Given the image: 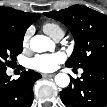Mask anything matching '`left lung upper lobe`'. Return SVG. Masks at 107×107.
<instances>
[{"instance_id": "5c2ea615", "label": "left lung upper lobe", "mask_w": 107, "mask_h": 107, "mask_svg": "<svg viewBox=\"0 0 107 107\" xmlns=\"http://www.w3.org/2000/svg\"><path fill=\"white\" fill-rule=\"evenodd\" d=\"M44 15L61 21L72 32L75 48L67 67L107 64V16L82 5H73Z\"/></svg>"}]
</instances>
